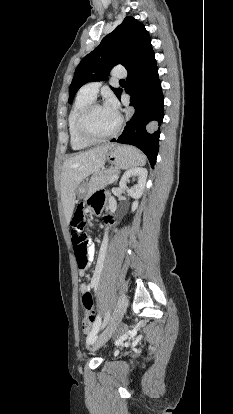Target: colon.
Returning <instances> with one entry per match:
<instances>
[{"mask_svg": "<svg viewBox=\"0 0 233 414\" xmlns=\"http://www.w3.org/2000/svg\"><path fill=\"white\" fill-rule=\"evenodd\" d=\"M72 242L78 268H86L89 264L88 245L89 238L85 230V220L82 207H78L72 218ZM83 320L82 327L86 332H90L95 322V312L93 310V298L91 292L86 291L82 295Z\"/></svg>", "mask_w": 233, "mask_h": 414, "instance_id": "obj_1", "label": "colon"}]
</instances>
